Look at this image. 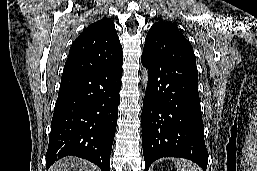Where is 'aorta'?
Wrapping results in <instances>:
<instances>
[{
    "instance_id": "1",
    "label": "aorta",
    "mask_w": 257,
    "mask_h": 171,
    "mask_svg": "<svg viewBox=\"0 0 257 171\" xmlns=\"http://www.w3.org/2000/svg\"><path fill=\"white\" fill-rule=\"evenodd\" d=\"M147 73L145 72L143 75V84L146 86L147 85Z\"/></svg>"
}]
</instances>
